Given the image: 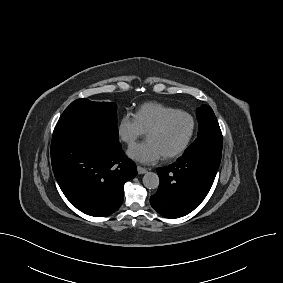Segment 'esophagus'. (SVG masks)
<instances>
[{
    "instance_id": "1",
    "label": "esophagus",
    "mask_w": 283,
    "mask_h": 283,
    "mask_svg": "<svg viewBox=\"0 0 283 283\" xmlns=\"http://www.w3.org/2000/svg\"><path fill=\"white\" fill-rule=\"evenodd\" d=\"M137 171H138V174H144L147 172V170L141 166L137 167Z\"/></svg>"
}]
</instances>
